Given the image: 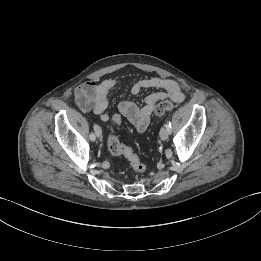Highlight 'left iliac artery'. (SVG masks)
<instances>
[{
  "label": "left iliac artery",
  "mask_w": 261,
  "mask_h": 261,
  "mask_svg": "<svg viewBox=\"0 0 261 261\" xmlns=\"http://www.w3.org/2000/svg\"><path fill=\"white\" fill-rule=\"evenodd\" d=\"M166 127L168 129V132L171 133V122L167 120Z\"/></svg>",
  "instance_id": "44dca946"
}]
</instances>
